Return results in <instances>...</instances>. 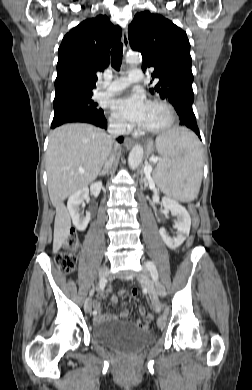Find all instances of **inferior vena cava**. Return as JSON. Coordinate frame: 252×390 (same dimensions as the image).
Masks as SVG:
<instances>
[{"instance_id":"inferior-vena-cava-1","label":"inferior vena cava","mask_w":252,"mask_h":390,"mask_svg":"<svg viewBox=\"0 0 252 390\" xmlns=\"http://www.w3.org/2000/svg\"><path fill=\"white\" fill-rule=\"evenodd\" d=\"M108 132L111 136L118 137L120 135L125 134L126 132V126L121 123H110L108 126ZM113 157L109 159V161H106L104 169H107L112 165Z\"/></svg>"}]
</instances>
